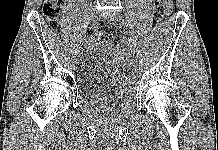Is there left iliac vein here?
I'll return each mask as SVG.
<instances>
[{"label":"left iliac vein","mask_w":218,"mask_h":150,"mask_svg":"<svg viewBox=\"0 0 218 150\" xmlns=\"http://www.w3.org/2000/svg\"><path fill=\"white\" fill-rule=\"evenodd\" d=\"M108 22H110L111 24H113L117 28H122L123 25H124V20H123V18L120 15H116V16L110 18L108 20ZM127 68L131 69L132 68V63L128 64Z\"/></svg>","instance_id":"1"}]
</instances>
